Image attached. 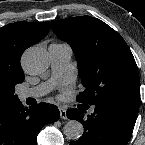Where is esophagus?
<instances>
[{
    "label": "esophagus",
    "instance_id": "34e87169",
    "mask_svg": "<svg viewBox=\"0 0 145 145\" xmlns=\"http://www.w3.org/2000/svg\"><path fill=\"white\" fill-rule=\"evenodd\" d=\"M59 111H60V117L62 119H66L67 118V112H66V110L63 107H60Z\"/></svg>",
    "mask_w": 145,
    "mask_h": 145
}]
</instances>
